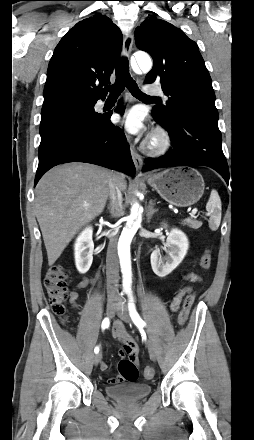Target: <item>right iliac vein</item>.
<instances>
[{
    "label": "right iliac vein",
    "mask_w": 254,
    "mask_h": 440,
    "mask_svg": "<svg viewBox=\"0 0 254 440\" xmlns=\"http://www.w3.org/2000/svg\"><path fill=\"white\" fill-rule=\"evenodd\" d=\"M115 311H116V307L114 304L107 305V309H106L107 316L112 317ZM101 359H102L101 353H97L93 358L94 364L97 366L100 363Z\"/></svg>",
    "instance_id": "right-iliac-vein-1"
}]
</instances>
